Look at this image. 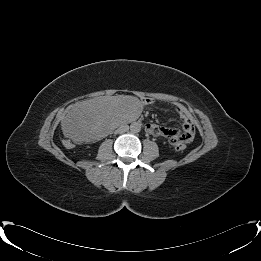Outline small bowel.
<instances>
[{"instance_id":"obj_1","label":"small bowel","mask_w":261,"mask_h":261,"mask_svg":"<svg viewBox=\"0 0 261 261\" xmlns=\"http://www.w3.org/2000/svg\"><path fill=\"white\" fill-rule=\"evenodd\" d=\"M174 109L182 122V131L157 124H147L146 130L159 138H168L170 140L171 137L182 136L186 142H190L195 135L194 122L186 109L181 105L175 104Z\"/></svg>"}]
</instances>
